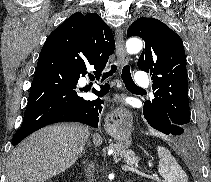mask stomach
Returning <instances> with one entry per match:
<instances>
[{
  "instance_id": "stomach-1",
  "label": "stomach",
  "mask_w": 211,
  "mask_h": 182,
  "mask_svg": "<svg viewBox=\"0 0 211 182\" xmlns=\"http://www.w3.org/2000/svg\"><path fill=\"white\" fill-rule=\"evenodd\" d=\"M111 135L118 141L119 144L128 147L131 144L129 130H112Z\"/></svg>"
}]
</instances>
